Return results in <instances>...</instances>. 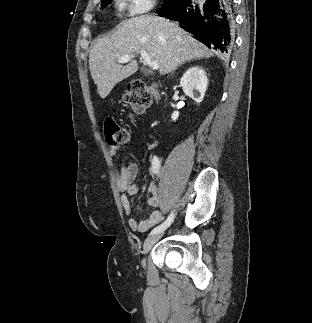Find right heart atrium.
Masks as SVG:
<instances>
[{
	"label": "right heart atrium",
	"instance_id": "d8ad5b80",
	"mask_svg": "<svg viewBox=\"0 0 312 323\" xmlns=\"http://www.w3.org/2000/svg\"><path fill=\"white\" fill-rule=\"evenodd\" d=\"M160 0H117V5H123L125 13H152Z\"/></svg>",
	"mask_w": 312,
	"mask_h": 323
}]
</instances>
